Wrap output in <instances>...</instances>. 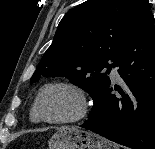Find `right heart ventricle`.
I'll return each mask as SVG.
<instances>
[{"instance_id":"obj_1","label":"right heart ventricle","mask_w":155,"mask_h":149,"mask_svg":"<svg viewBox=\"0 0 155 149\" xmlns=\"http://www.w3.org/2000/svg\"><path fill=\"white\" fill-rule=\"evenodd\" d=\"M30 118H31V121L34 122V123H39L40 122L37 115L33 111V108L31 109V112H30Z\"/></svg>"}]
</instances>
